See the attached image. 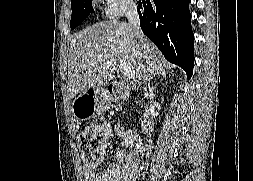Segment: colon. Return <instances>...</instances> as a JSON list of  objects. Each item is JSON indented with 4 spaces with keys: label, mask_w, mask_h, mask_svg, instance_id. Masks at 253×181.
<instances>
[{
    "label": "colon",
    "mask_w": 253,
    "mask_h": 181,
    "mask_svg": "<svg viewBox=\"0 0 253 181\" xmlns=\"http://www.w3.org/2000/svg\"><path fill=\"white\" fill-rule=\"evenodd\" d=\"M79 148L84 165L96 168L107 148L106 128L99 125L85 128L79 136Z\"/></svg>",
    "instance_id": "5ec220e1"
}]
</instances>
